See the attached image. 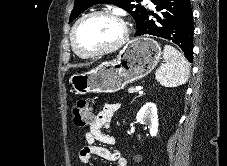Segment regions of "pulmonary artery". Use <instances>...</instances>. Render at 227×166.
<instances>
[{"label":"pulmonary artery","instance_id":"1","mask_svg":"<svg viewBox=\"0 0 227 166\" xmlns=\"http://www.w3.org/2000/svg\"><path fill=\"white\" fill-rule=\"evenodd\" d=\"M146 3H148L149 7L154 8L155 5L151 0H145Z\"/></svg>","mask_w":227,"mask_h":166}]
</instances>
